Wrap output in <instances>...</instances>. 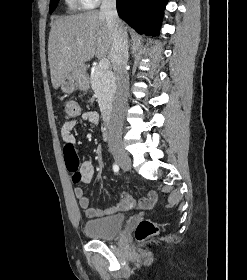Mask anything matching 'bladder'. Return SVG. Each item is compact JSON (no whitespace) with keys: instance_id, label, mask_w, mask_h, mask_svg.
<instances>
[{"instance_id":"obj_1","label":"bladder","mask_w":247,"mask_h":280,"mask_svg":"<svg viewBox=\"0 0 247 280\" xmlns=\"http://www.w3.org/2000/svg\"><path fill=\"white\" fill-rule=\"evenodd\" d=\"M125 222L124 215L88 220L84 224V233L92 239L111 240L122 232Z\"/></svg>"}]
</instances>
